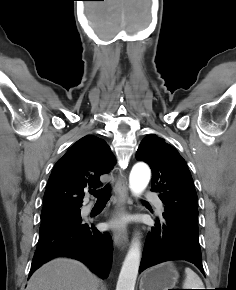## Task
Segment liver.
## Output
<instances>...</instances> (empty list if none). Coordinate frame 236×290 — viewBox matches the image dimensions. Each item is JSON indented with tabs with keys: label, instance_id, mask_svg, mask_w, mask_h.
I'll return each mask as SVG.
<instances>
[{
	"label": "liver",
	"instance_id": "liver-1",
	"mask_svg": "<svg viewBox=\"0 0 236 290\" xmlns=\"http://www.w3.org/2000/svg\"><path fill=\"white\" fill-rule=\"evenodd\" d=\"M98 287V277L84 264L69 258H56L32 275L27 290H98Z\"/></svg>",
	"mask_w": 236,
	"mask_h": 290
}]
</instances>
